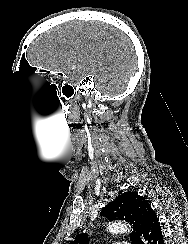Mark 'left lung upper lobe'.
<instances>
[{"mask_svg":"<svg viewBox=\"0 0 188 244\" xmlns=\"http://www.w3.org/2000/svg\"><path fill=\"white\" fill-rule=\"evenodd\" d=\"M152 210L149 200L135 192H125L106 205L100 215L109 220H126L133 226L130 239L133 244H141L147 219ZM69 244H88L87 233L80 234Z\"/></svg>","mask_w":188,"mask_h":244,"instance_id":"1","label":"left lung upper lobe"}]
</instances>
